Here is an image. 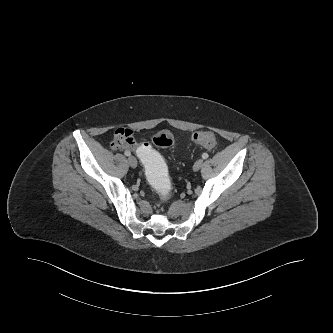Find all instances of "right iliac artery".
Returning a JSON list of instances; mask_svg holds the SVG:
<instances>
[{
	"label": "right iliac artery",
	"instance_id": "1",
	"mask_svg": "<svg viewBox=\"0 0 333 333\" xmlns=\"http://www.w3.org/2000/svg\"><path fill=\"white\" fill-rule=\"evenodd\" d=\"M124 154H125L126 156H130V155H131V152H130V151H125Z\"/></svg>",
	"mask_w": 333,
	"mask_h": 333
}]
</instances>
